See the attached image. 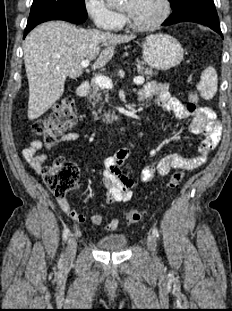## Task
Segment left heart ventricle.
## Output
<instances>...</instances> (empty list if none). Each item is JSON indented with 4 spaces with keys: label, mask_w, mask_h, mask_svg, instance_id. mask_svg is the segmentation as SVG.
Here are the masks:
<instances>
[{
    "label": "left heart ventricle",
    "mask_w": 232,
    "mask_h": 311,
    "mask_svg": "<svg viewBox=\"0 0 232 311\" xmlns=\"http://www.w3.org/2000/svg\"><path fill=\"white\" fill-rule=\"evenodd\" d=\"M131 0H126L123 4L125 9L130 10ZM161 4L159 0H137L129 16L133 22L140 25L154 21L160 14Z\"/></svg>",
    "instance_id": "obj_1"
}]
</instances>
